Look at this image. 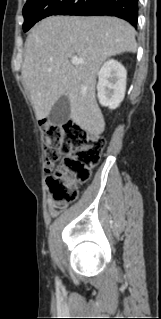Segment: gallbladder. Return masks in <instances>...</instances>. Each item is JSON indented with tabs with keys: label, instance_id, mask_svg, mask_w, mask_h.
<instances>
[{
	"label": "gallbladder",
	"instance_id": "bac80fb5",
	"mask_svg": "<svg viewBox=\"0 0 161 319\" xmlns=\"http://www.w3.org/2000/svg\"><path fill=\"white\" fill-rule=\"evenodd\" d=\"M70 101L66 95L61 96L53 105L48 119L53 125H61L70 119Z\"/></svg>",
	"mask_w": 161,
	"mask_h": 319
}]
</instances>
